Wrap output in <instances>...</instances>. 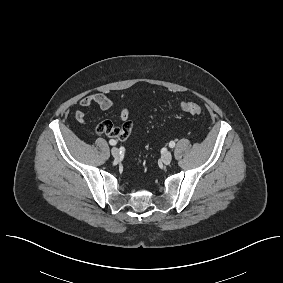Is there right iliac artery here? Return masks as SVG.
Segmentation results:
<instances>
[{"mask_svg": "<svg viewBox=\"0 0 283 283\" xmlns=\"http://www.w3.org/2000/svg\"><path fill=\"white\" fill-rule=\"evenodd\" d=\"M109 143H110V145H116V144H117V142H116L115 140H113V139H111V140L109 141Z\"/></svg>", "mask_w": 283, "mask_h": 283, "instance_id": "82829eb1", "label": "right iliac artery"}]
</instances>
